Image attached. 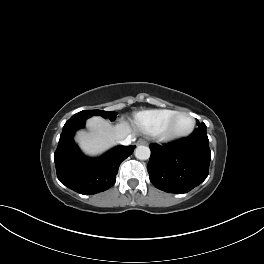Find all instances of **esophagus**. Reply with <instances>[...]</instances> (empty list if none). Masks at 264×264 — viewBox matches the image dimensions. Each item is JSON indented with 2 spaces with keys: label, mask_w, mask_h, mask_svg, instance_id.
<instances>
[{
  "label": "esophagus",
  "mask_w": 264,
  "mask_h": 264,
  "mask_svg": "<svg viewBox=\"0 0 264 264\" xmlns=\"http://www.w3.org/2000/svg\"><path fill=\"white\" fill-rule=\"evenodd\" d=\"M138 145H144V144H146V142L145 141H143V140H140V141H138V143H137Z\"/></svg>",
  "instance_id": "esophagus-1"
}]
</instances>
